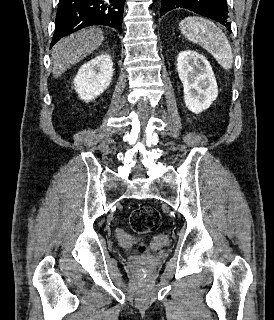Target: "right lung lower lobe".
<instances>
[{
	"label": "right lung lower lobe",
	"instance_id": "98d812e1",
	"mask_svg": "<svg viewBox=\"0 0 274 320\" xmlns=\"http://www.w3.org/2000/svg\"><path fill=\"white\" fill-rule=\"evenodd\" d=\"M125 0H59L53 46L59 39L91 25H108L122 33Z\"/></svg>",
	"mask_w": 274,
	"mask_h": 320
}]
</instances>
